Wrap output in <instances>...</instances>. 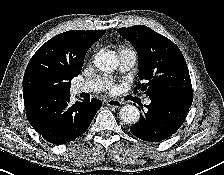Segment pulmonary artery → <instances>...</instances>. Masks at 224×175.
I'll use <instances>...</instances> for the list:
<instances>
[{"label": "pulmonary artery", "instance_id": "e3ab8cb5", "mask_svg": "<svg viewBox=\"0 0 224 175\" xmlns=\"http://www.w3.org/2000/svg\"><path fill=\"white\" fill-rule=\"evenodd\" d=\"M137 56L135 51L131 49H121L118 52V66L119 70L122 72L128 71L135 65ZM106 82L102 80H92L87 82L77 83L73 87V92L75 94H80L84 92H95L104 88ZM151 101L147 99L145 101L146 105H149Z\"/></svg>", "mask_w": 224, "mask_h": 175}]
</instances>
